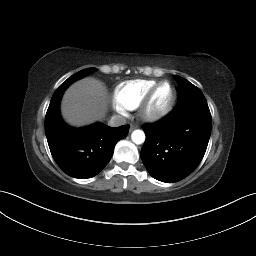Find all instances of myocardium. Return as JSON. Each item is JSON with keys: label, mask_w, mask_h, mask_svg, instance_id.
I'll return each mask as SVG.
<instances>
[{"label": "myocardium", "mask_w": 256, "mask_h": 256, "mask_svg": "<svg viewBox=\"0 0 256 256\" xmlns=\"http://www.w3.org/2000/svg\"><path fill=\"white\" fill-rule=\"evenodd\" d=\"M169 85L172 90V94L169 102L160 109H154L152 107L153 98L158 89L163 85ZM176 101V89L173 84L169 81H160L156 83L143 98L141 103L138 105V115L144 121H157L167 116L173 109Z\"/></svg>", "instance_id": "myocardium-1"}]
</instances>
